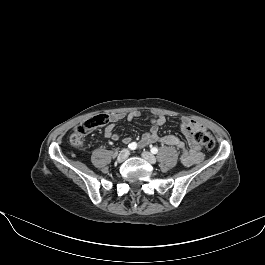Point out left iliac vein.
I'll return each instance as SVG.
<instances>
[{
    "mask_svg": "<svg viewBox=\"0 0 265 265\" xmlns=\"http://www.w3.org/2000/svg\"><path fill=\"white\" fill-rule=\"evenodd\" d=\"M142 157L147 160L149 163L154 164L156 163V158L153 154H151L150 152L144 151L142 153Z\"/></svg>",
    "mask_w": 265,
    "mask_h": 265,
    "instance_id": "1",
    "label": "left iliac vein"
}]
</instances>
